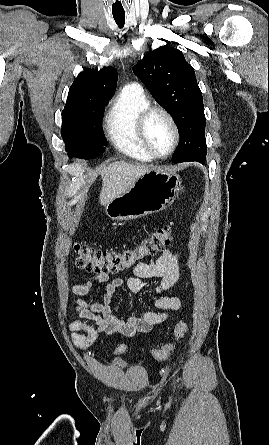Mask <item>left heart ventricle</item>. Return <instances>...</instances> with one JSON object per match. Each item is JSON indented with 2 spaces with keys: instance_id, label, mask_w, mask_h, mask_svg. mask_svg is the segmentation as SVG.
Wrapping results in <instances>:
<instances>
[{
  "instance_id": "b2bd125f",
  "label": "left heart ventricle",
  "mask_w": 269,
  "mask_h": 445,
  "mask_svg": "<svg viewBox=\"0 0 269 445\" xmlns=\"http://www.w3.org/2000/svg\"><path fill=\"white\" fill-rule=\"evenodd\" d=\"M147 139L158 154H165L173 143V130L168 119L161 113L153 114L146 126Z\"/></svg>"
}]
</instances>
